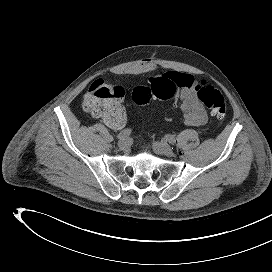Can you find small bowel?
<instances>
[{"instance_id": "obj_1", "label": "small bowel", "mask_w": 272, "mask_h": 272, "mask_svg": "<svg viewBox=\"0 0 272 272\" xmlns=\"http://www.w3.org/2000/svg\"><path fill=\"white\" fill-rule=\"evenodd\" d=\"M164 77L172 80L179 89L174 107L182 111L183 122L190 126H204L208 122V116L197 95V86L203 81L180 72H168L164 74ZM121 99L119 101V112L112 118L103 119L109 127L114 129H120L126 124V114L120 104Z\"/></svg>"}]
</instances>
